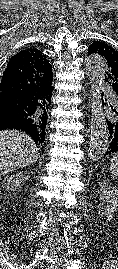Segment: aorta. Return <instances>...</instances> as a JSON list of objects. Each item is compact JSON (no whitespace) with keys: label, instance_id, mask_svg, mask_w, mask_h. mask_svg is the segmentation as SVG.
I'll use <instances>...</instances> for the list:
<instances>
[{"label":"aorta","instance_id":"762f6f07","mask_svg":"<svg viewBox=\"0 0 118 269\" xmlns=\"http://www.w3.org/2000/svg\"><path fill=\"white\" fill-rule=\"evenodd\" d=\"M86 71L91 82L92 96L95 100L94 114L91 120L89 157L98 161L103 157L108 146L107 126L100 102V93L106 71L104 58L98 55L89 56L86 59Z\"/></svg>","mask_w":118,"mask_h":269}]
</instances>
